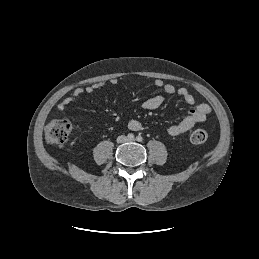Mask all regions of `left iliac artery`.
I'll return each mask as SVG.
<instances>
[{"label":"left iliac artery","mask_w":259,"mask_h":259,"mask_svg":"<svg viewBox=\"0 0 259 259\" xmlns=\"http://www.w3.org/2000/svg\"><path fill=\"white\" fill-rule=\"evenodd\" d=\"M136 140L139 141V142H141V141L143 140V137H142L141 135H138V136L136 137Z\"/></svg>","instance_id":"1"}]
</instances>
